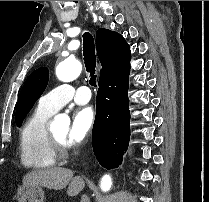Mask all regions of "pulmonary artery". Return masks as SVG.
Instances as JSON below:
<instances>
[{
  "instance_id": "e3ab8cb5",
  "label": "pulmonary artery",
  "mask_w": 209,
  "mask_h": 202,
  "mask_svg": "<svg viewBox=\"0 0 209 202\" xmlns=\"http://www.w3.org/2000/svg\"><path fill=\"white\" fill-rule=\"evenodd\" d=\"M92 97L91 91L86 86L72 84H61L52 88L40 99L38 106L42 109L55 113L71 101L77 104H85Z\"/></svg>"
}]
</instances>
